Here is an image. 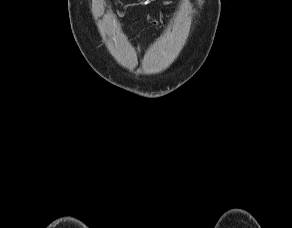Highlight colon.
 <instances>
[{
	"mask_svg": "<svg viewBox=\"0 0 292 228\" xmlns=\"http://www.w3.org/2000/svg\"><path fill=\"white\" fill-rule=\"evenodd\" d=\"M152 21H153L152 23H156L155 20H152Z\"/></svg>",
	"mask_w": 292,
	"mask_h": 228,
	"instance_id": "obj_1",
	"label": "colon"
}]
</instances>
